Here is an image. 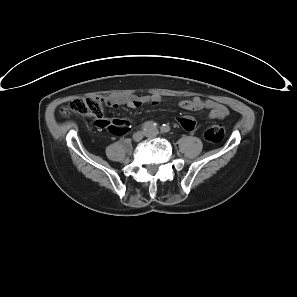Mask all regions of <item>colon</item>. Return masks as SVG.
I'll return each instance as SVG.
<instances>
[{
    "mask_svg": "<svg viewBox=\"0 0 297 297\" xmlns=\"http://www.w3.org/2000/svg\"><path fill=\"white\" fill-rule=\"evenodd\" d=\"M103 112V100L96 97L74 99L61 110L63 116L76 113L93 119H104ZM224 134L225 131L222 125H213L205 131L204 136L209 142L218 143L222 141Z\"/></svg>",
    "mask_w": 297,
    "mask_h": 297,
    "instance_id": "colon-1",
    "label": "colon"
}]
</instances>
